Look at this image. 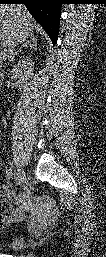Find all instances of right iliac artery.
<instances>
[{
  "instance_id": "82829eb1",
  "label": "right iliac artery",
  "mask_w": 106,
  "mask_h": 257,
  "mask_svg": "<svg viewBox=\"0 0 106 257\" xmlns=\"http://www.w3.org/2000/svg\"><path fill=\"white\" fill-rule=\"evenodd\" d=\"M13 178V168L9 167L8 172H7V179L11 180Z\"/></svg>"
}]
</instances>
